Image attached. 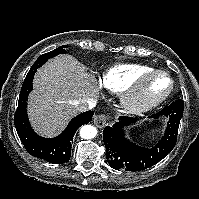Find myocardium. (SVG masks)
Masks as SVG:
<instances>
[{
	"label": "myocardium",
	"instance_id": "f54148a6",
	"mask_svg": "<svg viewBox=\"0 0 199 199\" xmlns=\"http://www.w3.org/2000/svg\"><path fill=\"white\" fill-rule=\"evenodd\" d=\"M159 76H164L169 80L168 90L158 97H150L147 94V86L149 82ZM175 87V82L172 76L163 70H153L142 75L137 82L126 92L124 103L132 112L142 113L150 111L163 102H165L172 94Z\"/></svg>",
	"mask_w": 199,
	"mask_h": 199
}]
</instances>
